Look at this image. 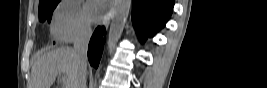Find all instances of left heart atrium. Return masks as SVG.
Masks as SVG:
<instances>
[{"label":"left heart atrium","mask_w":267,"mask_h":88,"mask_svg":"<svg viewBox=\"0 0 267 88\" xmlns=\"http://www.w3.org/2000/svg\"><path fill=\"white\" fill-rule=\"evenodd\" d=\"M85 12L91 22H99L106 12V4L98 0L88 1L85 5Z\"/></svg>","instance_id":"1"}]
</instances>
